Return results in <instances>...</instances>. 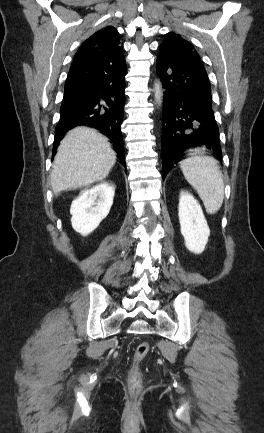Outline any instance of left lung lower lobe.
I'll return each mask as SVG.
<instances>
[{
	"label": "left lung lower lobe",
	"instance_id": "1",
	"mask_svg": "<svg viewBox=\"0 0 264 433\" xmlns=\"http://www.w3.org/2000/svg\"><path fill=\"white\" fill-rule=\"evenodd\" d=\"M157 74L165 89L161 146L163 179L180 161L184 150L191 147H206L222 161L219 129L205 69L159 54Z\"/></svg>",
	"mask_w": 264,
	"mask_h": 433
}]
</instances>
